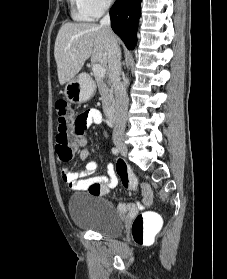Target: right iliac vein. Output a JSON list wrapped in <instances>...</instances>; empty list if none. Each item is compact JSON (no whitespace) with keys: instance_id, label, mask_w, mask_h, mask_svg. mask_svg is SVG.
<instances>
[{"instance_id":"obj_1","label":"right iliac vein","mask_w":227,"mask_h":279,"mask_svg":"<svg viewBox=\"0 0 227 279\" xmlns=\"http://www.w3.org/2000/svg\"><path fill=\"white\" fill-rule=\"evenodd\" d=\"M114 143H115L117 149L120 151V153H121L122 155L125 156V155L128 153L127 146H126V144L124 143L123 140H121V139H116V140L114 141Z\"/></svg>"}]
</instances>
